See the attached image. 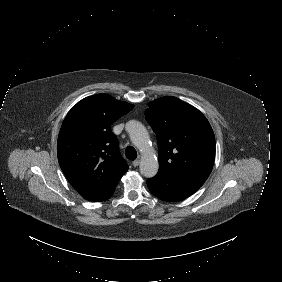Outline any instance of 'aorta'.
<instances>
[{
    "label": "aorta",
    "instance_id": "762f6f07",
    "mask_svg": "<svg viewBox=\"0 0 282 282\" xmlns=\"http://www.w3.org/2000/svg\"><path fill=\"white\" fill-rule=\"evenodd\" d=\"M125 130L136 147L143 150L147 149L149 134L142 122L136 119L128 120L125 124ZM139 169L143 177H155L159 170L157 157L153 154H145L140 161Z\"/></svg>",
    "mask_w": 282,
    "mask_h": 282
}]
</instances>
